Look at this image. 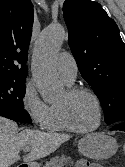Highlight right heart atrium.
I'll use <instances>...</instances> for the list:
<instances>
[{"label":"right heart atrium","instance_id":"d8ad5b80","mask_svg":"<svg viewBox=\"0 0 125 167\" xmlns=\"http://www.w3.org/2000/svg\"><path fill=\"white\" fill-rule=\"evenodd\" d=\"M21 105L35 127L45 128L47 126L52 106L43 101L33 82L25 85Z\"/></svg>","mask_w":125,"mask_h":167}]
</instances>
